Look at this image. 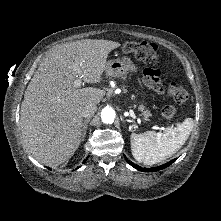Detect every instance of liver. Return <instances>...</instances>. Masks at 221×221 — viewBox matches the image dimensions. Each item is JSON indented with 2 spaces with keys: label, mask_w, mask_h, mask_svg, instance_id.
<instances>
[{
  "label": "liver",
  "mask_w": 221,
  "mask_h": 221,
  "mask_svg": "<svg viewBox=\"0 0 221 221\" xmlns=\"http://www.w3.org/2000/svg\"><path fill=\"white\" fill-rule=\"evenodd\" d=\"M121 44L103 39H85L56 46L41 62L21 104L20 125L24 143L32 156L56 167L73 156L80 145L83 118L81 109L98 104L105 91L78 89L79 78L100 83L109 53Z\"/></svg>",
  "instance_id": "obj_1"
}]
</instances>
